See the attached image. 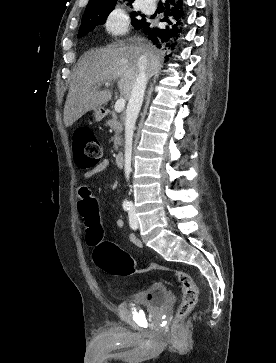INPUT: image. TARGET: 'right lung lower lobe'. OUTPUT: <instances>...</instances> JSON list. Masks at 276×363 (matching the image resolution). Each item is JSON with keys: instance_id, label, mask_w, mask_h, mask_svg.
Wrapping results in <instances>:
<instances>
[{"instance_id": "right-lung-lower-lobe-1", "label": "right lung lower lobe", "mask_w": 276, "mask_h": 363, "mask_svg": "<svg viewBox=\"0 0 276 363\" xmlns=\"http://www.w3.org/2000/svg\"><path fill=\"white\" fill-rule=\"evenodd\" d=\"M165 18L169 25L165 29L150 26L146 21L139 27L160 49H174L183 34L184 4L182 0H167Z\"/></svg>"}]
</instances>
